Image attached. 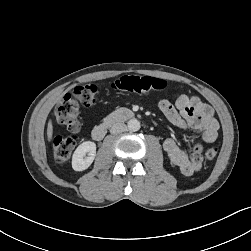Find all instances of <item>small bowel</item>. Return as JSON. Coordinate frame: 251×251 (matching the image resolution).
Listing matches in <instances>:
<instances>
[{
	"label": "small bowel",
	"mask_w": 251,
	"mask_h": 251,
	"mask_svg": "<svg viewBox=\"0 0 251 251\" xmlns=\"http://www.w3.org/2000/svg\"><path fill=\"white\" fill-rule=\"evenodd\" d=\"M159 110L166 118L182 129H192L202 133V140L214 142L218 137L219 124L213 116L212 108L198 97L186 93H176L171 99H161ZM163 148L170 161L185 176H191L202 168V145L197 144L191 154H187L174 141L167 137L163 140Z\"/></svg>",
	"instance_id": "1"
}]
</instances>
